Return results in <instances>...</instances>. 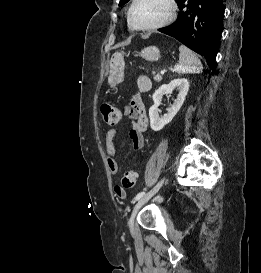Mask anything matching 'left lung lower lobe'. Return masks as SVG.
<instances>
[{
	"label": "left lung lower lobe",
	"instance_id": "left-lung-lower-lobe-1",
	"mask_svg": "<svg viewBox=\"0 0 261 273\" xmlns=\"http://www.w3.org/2000/svg\"><path fill=\"white\" fill-rule=\"evenodd\" d=\"M177 3L181 10L177 21L159 31L176 38L196 53L204 56L208 66L212 69L223 26V1L178 0Z\"/></svg>",
	"mask_w": 261,
	"mask_h": 273
}]
</instances>
